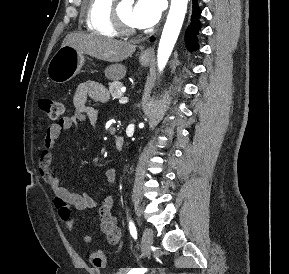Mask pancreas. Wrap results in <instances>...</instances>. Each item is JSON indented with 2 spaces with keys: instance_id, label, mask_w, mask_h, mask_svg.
Here are the masks:
<instances>
[{
  "instance_id": "cf45deb5",
  "label": "pancreas",
  "mask_w": 289,
  "mask_h": 274,
  "mask_svg": "<svg viewBox=\"0 0 289 274\" xmlns=\"http://www.w3.org/2000/svg\"><path fill=\"white\" fill-rule=\"evenodd\" d=\"M123 84L121 82L112 83L109 86V93L113 99L120 98L123 96L121 92Z\"/></svg>"
}]
</instances>
